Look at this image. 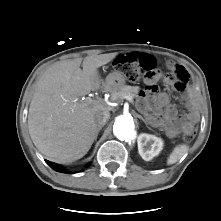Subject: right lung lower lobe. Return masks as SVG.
<instances>
[{
	"label": "right lung lower lobe",
	"mask_w": 221,
	"mask_h": 221,
	"mask_svg": "<svg viewBox=\"0 0 221 221\" xmlns=\"http://www.w3.org/2000/svg\"><path fill=\"white\" fill-rule=\"evenodd\" d=\"M46 161V163L52 168V169H54L55 171H57V172H62V173H69V172H67L63 167H61V166H59V165H57V164H55V163H53V162H50V161H48V160H45ZM70 174V173H69Z\"/></svg>",
	"instance_id": "1"
}]
</instances>
